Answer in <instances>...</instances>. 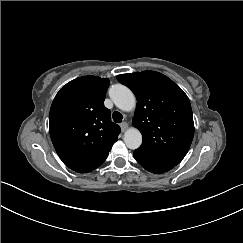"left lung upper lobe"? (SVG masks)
I'll return each mask as SVG.
<instances>
[{
	"mask_svg": "<svg viewBox=\"0 0 243 243\" xmlns=\"http://www.w3.org/2000/svg\"><path fill=\"white\" fill-rule=\"evenodd\" d=\"M137 98L132 124L142 133V145L135 150L152 161L178 165L194 136L191 104L183 90L167 76L142 71L117 76Z\"/></svg>",
	"mask_w": 243,
	"mask_h": 243,
	"instance_id": "5c2ea615",
	"label": "left lung upper lobe"
}]
</instances>
